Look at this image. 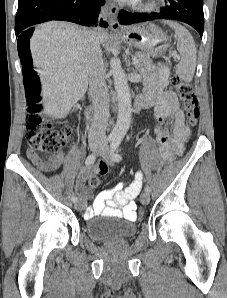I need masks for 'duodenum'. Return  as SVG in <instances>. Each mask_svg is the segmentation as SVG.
<instances>
[{
    "label": "duodenum",
    "instance_id": "1",
    "mask_svg": "<svg viewBox=\"0 0 227 298\" xmlns=\"http://www.w3.org/2000/svg\"><path fill=\"white\" fill-rule=\"evenodd\" d=\"M134 106L137 110L143 109L145 108V102L142 100V98L140 96L136 97L135 101H134ZM90 113V111H89Z\"/></svg>",
    "mask_w": 227,
    "mask_h": 298
}]
</instances>
